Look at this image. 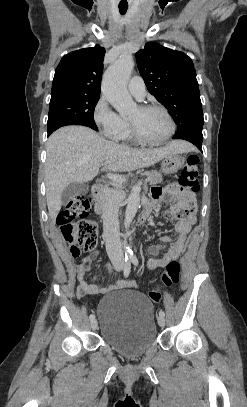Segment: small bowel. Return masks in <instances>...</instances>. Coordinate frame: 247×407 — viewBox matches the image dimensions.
Returning a JSON list of instances; mask_svg holds the SVG:
<instances>
[{"label": "small bowel", "instance_id": "obj_1", "mask_svg": "<svg viewBox=\"0 0 247 407\" xmlns=\"http://www.w3.org/2000/svg\"><path fill=\"white\" fill-rule=\"evenodd\" d=\"M167 199L172 201V204L164 213V216L167 219L176 220L174 226L175 238L164 236L161 238L159 244L150 249V252L156 255L160 250L164 249L168 243H170V245L165 248L161 258L149 262L148 267L150 270L158 267H165L169 262L176 261L179 258L184 249L192 225L196 221L194 199L191 194L182 191L177 184H170L165 188H154L151 192L149 202L152 206H155L158 202ZM182 211L185 213L184 216H180V212ZM95 257L96 255L94 253L87 255L75 268V274L79 281V286L76 290L78 297H83L88 294L106 293L115 288L136 285V282L133 280H120L115 285L104 286L94 282L96 275L92 279H87L85 273L91 269Z\"/></svg>", "mask_w": 247, "mask_h": 407}]
</instances>
